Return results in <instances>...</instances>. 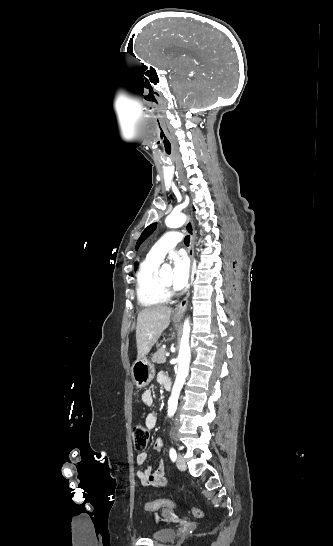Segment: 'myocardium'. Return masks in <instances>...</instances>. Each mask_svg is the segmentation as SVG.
Segmentation results:
<instances>
[{
	"instance_id": "obj_1",
	"label": "myocardium",
	"mask_w": 333,
	"mask_h": 546,
	"mask_svg": "<svg viewBox=\"0 0 333 546\" xmlns=\"http://www.w3.org/2000/svg\"><path fill=\"white\" fill-rule=\"evenodd\" d=\"M158 283H159V286L162 290V292L168 296V297H171L173 296L175 293H174V290L171 288V286H168V285H165L162 281H161V278L158 277Z\"/></svg>"
}]
</instances>
